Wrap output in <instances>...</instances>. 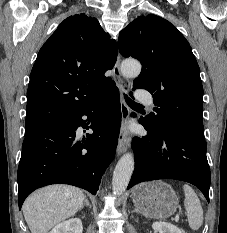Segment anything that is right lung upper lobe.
I'll return each instance as SVG.
<instances>
[{
  "mask_svg": "<svg viewBox=\"0 0 227 233\" xmlns=\"http://www.w3.org/2000/svg\"><path fill=\"white\" fill-rule=\"evenodd\" d=\"M117 59V44L96 18L65 19L44 43L30 74L25 136L98 101L115 86L104 73Z\"/></svg>",
  "mask_w": 227,
  "mask_h": 233,
  "instance_id": "obj_1",
  "label": "right lung upper lobe"
}]
</instances>
